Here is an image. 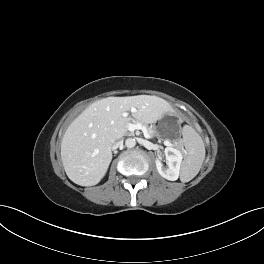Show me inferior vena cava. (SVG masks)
I'll return each mask as SVG.
<instances>
[{
	"label": "inferior vena cava",
	"mask_w": 264,
	"mask_h": 264,
	"mask_svg": "<svg viewBox=\"0 0 264 264\" xmlns=\"http://www.w3.org/2000/svg\"><path fill=\"white\" fill-rule=\"evenodd\" d=\"M121 146H123V140L121 138H118L115 140L112 148L116 149V148L121 147Z\"/></svg>",
	"instance_id": "obj_1"
}]
</instances>
